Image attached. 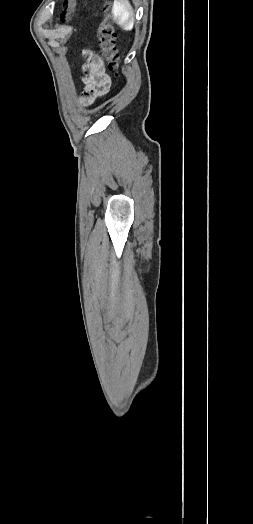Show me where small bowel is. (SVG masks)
Instances as JSON below:
<instances>
[{
	"instance_id": "small-bowel-1",
	"label": "small bowel",
	"mask_w": 253,
	"mask_h": 524,
	"mask_svg": "<svg viewBox=\"0 0 253 524\" xmlns=\"http://www.w3.org/2000/svg\"><path fill=\"white\" fill-rule=\"evenodd\" d=\"M87 64L83 70L85 87L82 91L84 103H90L95 98L105 95L110 88V78L105 73L102 61L93 52L85 51Z\"/></svg>"
}]
</instances>
